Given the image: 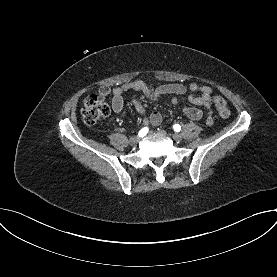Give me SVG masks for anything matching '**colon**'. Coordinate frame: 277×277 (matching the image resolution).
<instances>
[{"mask_svg":"<svg viewBox=\"0 0 277 277\" xmlns=\"http://www.w3.org/2000/svg\"><path fill=\"white\" fill-rule=\"evenodd\" d=\"M106 97L103 94L94 93L85 99L82 118L86 124L93 125L109 115L110 108L106 102ZM214 103L219 115L223 118L228 117L229 109L226 101L220 96H215Z\"/></svg>","mask_w":277,"mask_h":277,"instance_id":"1","label":"colon"}]
</instances>
